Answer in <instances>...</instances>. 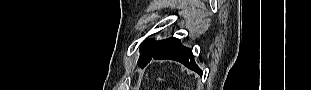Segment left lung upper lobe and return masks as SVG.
Segmentation results:
<instances>
[{"label":"left lung upper lobe","mask_w":311,"mask_h":90,"mask_svg":"<svg viewBox=\"0 0 311 90\" xmlns=\"http://www.w3.org/2000/svg\"><path fill=\"white\" fill-rule=\"evenodd\" d=\"M160 42L161 41H154V39L143 41L140 47L141 54L138 63L146 60Z\"/></svg>","instance_id":"1"}]
</instances>
